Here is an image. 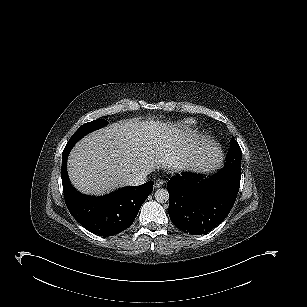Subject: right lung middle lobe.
I'll return each mask as SVG.
<instances>
[{"label": "right lung middle lobe", "instance_id": "obj_1", "mask_svg": "<svg viewBox=\"0 0 307 307\" xmlns=\"http://www.w3.org/2000/svg\"><path fill=\"white\" fill-rule=\"evenodd\" d=\"M108 123L106 120L100 119V120H94L88 123L83 124L70 138V140L67 142L65 148H72L77 141H79L81 138H83L88 133L100 129L104 126H106Z\"/></svg>", "mask_w": 307, "mask_h": 307}]
</instances>
